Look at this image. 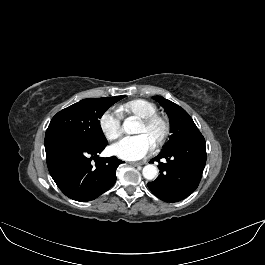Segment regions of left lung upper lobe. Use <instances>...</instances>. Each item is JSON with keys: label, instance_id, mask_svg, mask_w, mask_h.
Here are the masks:
<instances>
[{"label": "left lung upper lobe", "instance_id": "left-lung-upper-lobe-1", "mask_svg": "<svg viewBox=\"0 0 265 265\" xmlns=\"http://www.w3.org/2000/svg\"><path fill=\"white\" fill-rule=\"evenodd\" d=\"M169 115L172 135L162 151H166L182 142L202 136L190 115L180 106L162 96L154 97Z\"/></svg>", "mask_w": 265, "mask_h": 265}]
</instances>
